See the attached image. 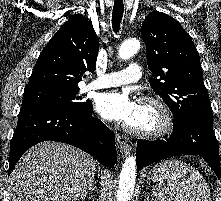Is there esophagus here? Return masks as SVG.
I'll use <instances>...</instances> for the list:
<instances>
[{
    "mask_svg": "<svg viewBox=\"0 0 221 201\" xmlns=\"http://www.w3.org/2000/svg\"><path fill=\"white\" fill-rule=\"evenodd\" d=\"M116 141L119 145V148L121 150V152L124 155L129 154V152L131 151V141L128 137L121 135V134H116Z\"/></svg>",
    "mask_w": 221,
    "mask_h": 201,
    "instance_id": "1",
    "label": "esophagus"
}]
</instances>
